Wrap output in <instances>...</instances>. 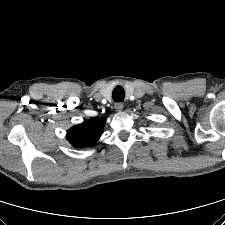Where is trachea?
Here are the masks:
<instances>
[{
    "label": "trachea",
    "mask_w": 225,
    "mask_h": 225,
    "mask_svg": "<svg viewBox=\"0 0 225 225\" xmlns=\"http://www.w3.org/2000/svg\"><path fill=\"white\" fill-rule=\"evenodd\" d=\"M125 97V90L122 86H116L112 92V98L116 102H122Z\"/></svg>",
    "instance_id": "1"
}]
</instances>
